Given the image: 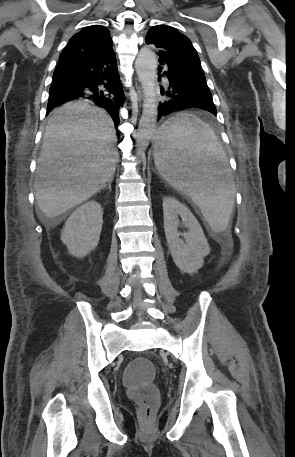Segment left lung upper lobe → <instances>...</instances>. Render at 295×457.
Listing matches in <instances>:
<instances>
[{
    "instance_id": "obj_1",
    "label": "left lung upper lobe",
    "mask_w": 295,
    "mask_h": 457,
    "mask_svg": "<svg viewBox=\"0 0 295 457\" xmlns=\"http://www.w3.org/2000/svg\"><path fill=\"white\" fill-rule=\"evenodd\" d=\"M145 41L157 48L159 57L182 66L190 72L201 73L202 82H197L196 85L203 83L208 87L197 51L185 35L173 27L156 25L149 29Z\"/></svg>"
}]
</instances>
